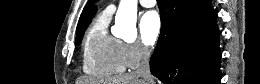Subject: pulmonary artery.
I'll return each instance as SVG.
<instances>
[{
	"instance_id": "1",
	"label": "pulmonary artery",
	"mask_w": 260,
	"mask_h": 84,
	"mask_svg": "<svg viewBox=\"0 0 260 84\" xmlns=\"http://www.w3.org/2000/svg\"><path fill=\"white\" fill-rule=\"evenodd\" d=\"M140 4L143 6V7H146V8H150V7H153L155 6L156 2L154 0H140L139 1ZM116 9V6L114 4H110L106 9L105 11L109 14H112Z\"/></svg>"
}]
</instances>
